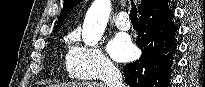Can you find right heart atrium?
<instances>
[{
    "label": "right heart atrium",
    "instance_id": "1",
    "mask_svg": "<svg viewBox=\"0 0 205 87\" xmlns=\"http://www.w3.org/2000/svg\"><path fill=\"white\" fill-rule=\"evenodd\" d=\"M66 69L71 77L85 80L104 78L118 70L100 46L82 44L77 37L72 39L67 53Z\"/></svg>",
    "mask_w": 205,
    "mask_h": 87
}]
</instances>
